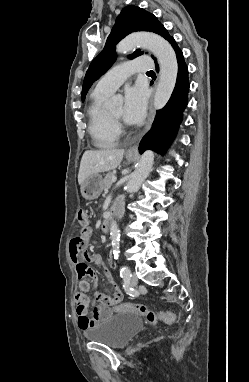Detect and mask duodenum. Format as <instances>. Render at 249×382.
<instances>
[{
  "instance_id": "obj_1",
  "label": "duodenum",
  "mask_w": 249,
  "mask_h": 382,
  "mask_svg": "<svg viewBox=\"0 0 249 382\" xmlns=\"http://www.w3.org/2000/svg\"><path fill=\"white\" fill-rule=\"evenodd\" d=\"M124 214V204L123 202H116L112 206L111 214L107 215L106 218L102 222V231L107 232L112 224L113 217L121 218Z\"/></svg>"
}]
</instances>
